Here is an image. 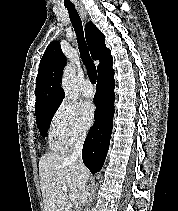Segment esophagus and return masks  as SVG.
I'll list each match as a JSON object with an SVG mask.
<instances>
[{"label":"esophagus","mask_w":178,"mask_h":211,"mask_svg":"<svg viewBox=\"0 0 178 211\" xmlns=\"http://www.w3.org/2000/svg\"><path fill=\"white\" fill-rule=\"evenodd\" d=\"M79 12L83 18H86L87 13L83 8H79Z\"/></svg>","instance_id":"34e87169"}]
</instances>
